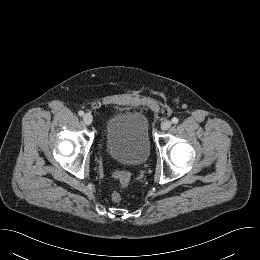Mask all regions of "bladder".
Listing matches in <instances>:
<instances>
[{"mask_svg":"<svg viewBox=\"0 0 260 260\" xmlns=\"http://www.w3.org/2000/svg\"><path fill=\"white\" fill-rule=\"evenodd\" d=\"M105 149L114 161L138 167L146 163L151 151L146 117L137 111H118L106 124Z\"/></svg>","mask_w":260,"mask_h":260,"instance_id":"1","label":"bladder"}]
</instances>
